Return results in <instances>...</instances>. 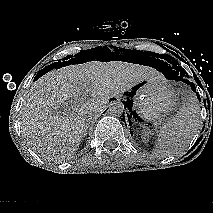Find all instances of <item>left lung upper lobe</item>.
<instances>
[{"instance_id":"obj_1","label":"left lung upper lobe","mask_w":213,"mask_h":213,"mask_svg":"<svg viewBox=\"0 0 213 213\" xmlns=\"http://www.w3.org/2000/svg\"><path fill=\"white\" fill-rule=\"evenodd\" d=\"M170 60L171 61L168 60V62H170L173 65V68L176 69L177 75L179 74V71H180V76L183 77L185 74V71L179 66L178 62L175 59L170 57Z\"/></svg>"}]
</instances>
